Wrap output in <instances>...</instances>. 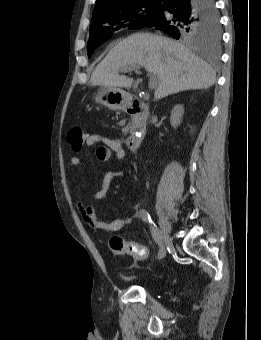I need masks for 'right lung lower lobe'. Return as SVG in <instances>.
I'll list each match as a JSON object with an SVG mask.
<instances>
[{"instance_id":"right-lung-lower-lobe-1","label":"right lung lower lobe","mask_w":261,"mask_h":340,"mask_svg":"<svg viewBox=\"0 0 261 340\" xmlns=\"http://www.w3.org/2000/svg\"><path fill=\"white\" fill-rule=\"evenodd\" d=\"M195 13L200 16L217 13L215 0H163L160 11L144 28L153 27L177 39L179 26Z\"/></svg>"}]
</instances>
